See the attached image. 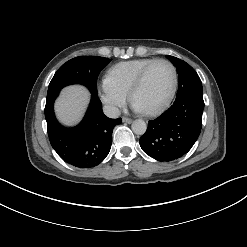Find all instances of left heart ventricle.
I'll return each mask as SVG.
<instances>
[{
  "label": "left heart ventricle",
  "mask_w": 247,
  "mask_h": 247,
  "mask_svg": "<svg viewBox=\"0 0 247 247\" xmlns=\"http://www.w3.org/2000/svg\"><path fill=\"white\" fill-rule=\"evenodd\" d=\"M173 83V73L166 63L156 64L148 73L143 85L136 91L133 103L143 111L152 110L167 98Z\"/></svg>",
  "instance_id": "b2bd125f"
}]
</instances>
